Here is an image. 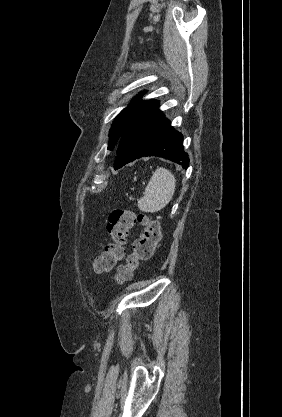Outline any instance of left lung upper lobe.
<instances>
[{"mask_svg":"<svg viewBox=\"0 0 282 417\" xmlns=\"http://www.w3.org/2000/svg\"><path fill=\"white\" fill-rule=\"evenodd\" d=\"M142 103V101H136L132 104H130L128 107H126L125 109H123L121 111V113L115 118L113 125L110 129V140H109V144H108V149L109 150H113L116 148L121 133H122V129L123 126L127 120V118L129 117V115L132 113V111Z\"/></svg>","mask_w":282,"mask_h":417,"instance_id":"5c2ea615","label":"left lung upper lobe"}]
</instances>
